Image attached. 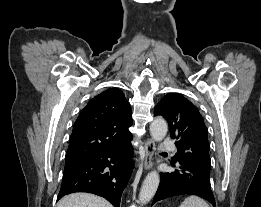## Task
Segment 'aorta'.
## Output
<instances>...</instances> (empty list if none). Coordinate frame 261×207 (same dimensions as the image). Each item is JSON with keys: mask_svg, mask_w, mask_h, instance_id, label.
Masks as SVG:
<instances>
[{"mask_svg": "<svg viewBox=\"0 0 261 207\" xmlns=\"http://www.w3.org/2000/svg\"><path fill=\"white\" fill-rule=\"evenodd\" d=\"M168 131V125L162 118H156L150 125V134L154 141H161L164 139ZM160 176L158 172L152 171L147 174L143 185L141 187L139 200L141 203H148L155 195L159 186Z\"/></svg>", "mask_w": 261, "mask_h": 207, "instance_id": "obj_1", "label": "aorta"}]
</instances>
